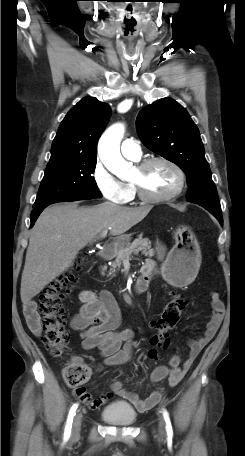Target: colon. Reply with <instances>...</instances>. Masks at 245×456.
Wrapping results in <instances>:
<instances>
[{
  "mask_svg": "<svg viewBox=\"0 0 245 456\" xmlns=\"http://www.w3.org/2000/svg\"><path fill=\"white\" fill-rule=\"evenodd\" d=\"M84 259H78L73 267L50 282L39 297L44 342L55 357L63 356L69 348V333L65 328L66 310L64 300L78 282V273L84 265ZM186 301L174 295L165 305L159 317L151 322L155 334L151 338L150 358L157 357V349L168 344L170 331L177 324ZM91 375L90 366L79 358H74L63 369V380L69 387L78 388L85 384Z\"/></svg>",
  "mask_w": 245,
  "mask_h": 456,
  "instance_id": "colon-1",
  "label": "colon"
}]
</instances>
